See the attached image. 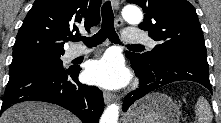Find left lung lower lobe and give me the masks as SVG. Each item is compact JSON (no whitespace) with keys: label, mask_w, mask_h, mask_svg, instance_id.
Instances as JSON below:
<instances>
[{"label":"left lung lower lobe","mask_w":221,"mask_h":123,"mask_svg":"<svg viewBox=\"0 0 221 123\" xmlns=\"http://www.w3.org/2000/svg\"><path fill=\"white\" fill-rule=\"evenodd\" d=\"M132 67L140 79L139 88L128 94L123 102V111L147 93L174 81L189 80L202 84L212 93L207 60L193 56H179L165 61L143 62L132 56Z\"/></svg>","instance_id":"obj_1"}]
</instances>
